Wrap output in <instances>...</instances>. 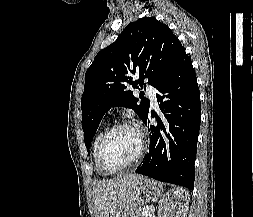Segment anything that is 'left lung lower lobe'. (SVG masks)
Segmentation results:
<instances>
[{"mask_svg":"<svg viewBox=\"0 0 253 217\" xmlns=\"http://www.w3.org/2000/svg\"><path fill=\"white\" fill-rule=\"evenodd\" d=\"M156 89L160 116L148 112L157 125L148 126L150 147L145 159L135 170L159 181L194 187L195 158L201 121L200 93L189 56L184 53Z\"/></svg>","mask_w":253,"mask_h":217,"instance_id":"0a47b994","label":"left lung lower lobe"}]
</instances>
